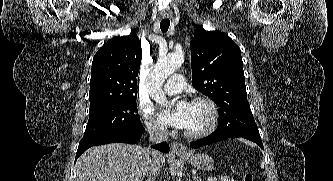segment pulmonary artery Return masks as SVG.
Wrapping results in <instances>:
<instances>
[{
	"instance_id": "pulmonary-artery-1",
	"label": "pulmonary artery",
	"mask_w": 333,
	"mask_h": 181,
	"mask_svg": "<svg viewBox=\"0 0 333 181\" xmlns=\"http://www.w3.org/2000/svg\"><path fill=\"white\" fill-rule=\"evenodd\" d=\"M185 87V80L182 75H172L164 87L165 93L175 95L182 92Z\"/></svg>"
}]
</instances>
